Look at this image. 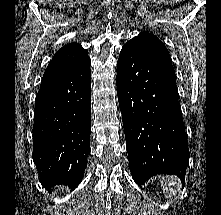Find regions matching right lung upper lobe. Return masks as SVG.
I'll return each instance as SVG.
<instances>
[{"label": "right lung upper lobe", "instance_id": "1", "mask_svg": "<svg viewBox=\"0 0 221 215\" xmlns=\"http://www.w3.org/2000/svg\"><path fill=\"white\" fill-rule=\"evenodd\" d=\"M88 57V51L78 43H70L59 49L46 68L43 79L69 70Z\"/></svg>", "mask_w": 221, "mask_h": 215}]
</instances>
